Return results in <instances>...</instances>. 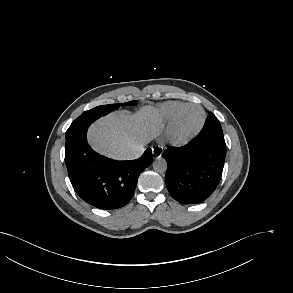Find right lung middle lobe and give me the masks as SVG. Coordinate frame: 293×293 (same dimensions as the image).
<instances>
[{
  "label": "right lung middle lobe",
  "mask_w": 293,
  "mask_h": 293,
  "mask_svg": "<svg viewBox=\"0 0 293 293\" xmlns=\"http://www.w3.org/2000/svg\"><path fill=\"white\" fill-rule=\"evenodd\" d=\"M137 101H130L126 103H121L120 105H136ZM118 104H110V105H101L97 106L91 110L83 112L69 127V129H74L79 126L85 125V124H91L101 116L107 115L111 111L118 108Z\"/></svg>",
  "instance_id": "dd1d6c3e"
}]
</instances>
